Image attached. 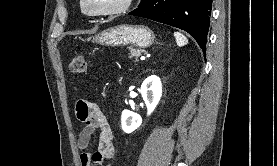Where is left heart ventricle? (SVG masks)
Returning a JSON list of instances; mask_svg holds the SVG:
<instances>
[{"label": "left heart ventricle", "mask_w": 277, "mask_h": 166, "mask_svg": "<svg viewBox=\"0 0 277 166\" xmlns=\"http://www.w3.org/2000/svg\"><path fill=\"white\" fill-rule=\"evenodd\" d=\"M121 0H86L85 7L90 11L103 9L112 5H116Z\"/></svg>", "instance_id": "obj_1"}]
</instances>
